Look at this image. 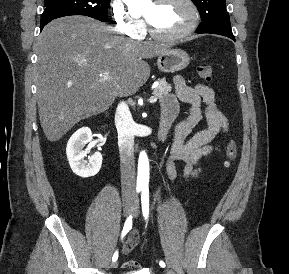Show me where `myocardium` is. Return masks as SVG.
<instances>
[{"label":"myocardium","instance_id":"myocardium-1","mask_svg":"<svg viewBox=\"0 0 289 274\" xmlns=\"http://www.w3.org/2000/svg\"><path fill=\"white\" fill-rule=\"evenodd\" d=\"M167 1L169 0H155L154 2L156 4H161ZM183 2L189 7L191 18L189 24L182 31L175 34L160 33L152 26L149 20L144 17L146 29L149 35L157 40L168 42L179 41L191 35L195 31L199 22V9L193 0H183Z\"/></svg>","mask_w":289,"mask_h":274}]
</instances>
